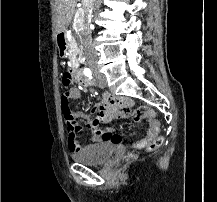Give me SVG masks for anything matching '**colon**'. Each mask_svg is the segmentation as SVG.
I'll list each match as a JSON object with an SVG mask.
<instances>
[{
  "instance_id": "5ec220e1",
  "label": "colon",
  "mask_w": 217,
  "mask_h": 202,
  "mask_svg": "<svg viewBox=\"0 0 217 202\" xmlns=\"http://www.w3.org/2000/svg\"><path fill=\"white\" fill-rule=\"evenodd\" d=\"M61 98V105H62V112L64 115L65 122L69 128V131H73L76 129V122L74 120L72 109L69 105L68 99L71 95L69 90H63L60 92ZM153 108H148V104H141V107H136L134 113H130V119L132 123H139L141 118L150 117L152 115ZM153 118H157V115H153ZM164 141L163 137H156L153 140L151 148L159 146Z\"/></svg>"
}]
</instances>
